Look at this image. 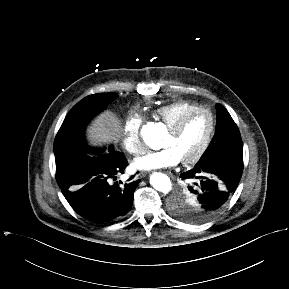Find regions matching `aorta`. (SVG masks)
I'll return each instance as SVG.
<instances>
[{
  "label": "aorta",
  "instance_id": "1",
  "mask_svg": "<svg viewBox=\"0 0 289 289\" xmlns=\"http://www.w3.org/2000/svg\"><path fill=\"white\" fill-rule=\"evenodd\" d=\"M164 128L160 123H149L141 130V135L149 147L158 150L162 146V135ZM150 184L157 191L167 194L172 189L169 177L163 173H153L150 177Z\"/></svg>",
  "mask_w": 289,
  "mask_h": 289
}]
</instances>
